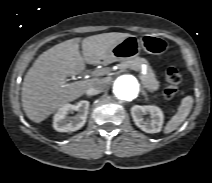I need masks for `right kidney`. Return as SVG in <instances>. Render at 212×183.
<instances>
[{"instance_id": "1", "label": "right kidney", "mask_w": 212, "mask_h": 183, "mask_svg": "<svg viewBox=\"0 0 212 183\" xmlns=\"http://www.w3.org/2000/svg\"><path fill=\"white\" fill-rule=\"evenodd\" d=\"M89 110V102L79 101L75 105L65 104L54 115L53 127L58 132H74L82 128L86 122ZM77 111V115L69 117L68 114Z\"/></svg>"}]
</instances>
